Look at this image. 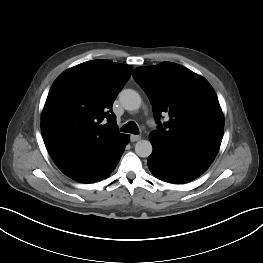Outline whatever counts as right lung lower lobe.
I'll return each instance as SVG.
<instances>
[{"instance_id":"right-lung-lower-lobe-1","label":"right lung lower lobe","mask_w":263,"mask_h":263,"mask_svg":"<svg viewBox=\"0 0 263 263\" xmlns=\"http://www.w3.org/2000/svg\"><path fill=\"white\" fill-rule=\"evenodd\" d=\"M128 141L129 136L125 135L117 147L60 169L68 177L82 183L105 179L116 168Z\"/></svg>"}]
</instances>
